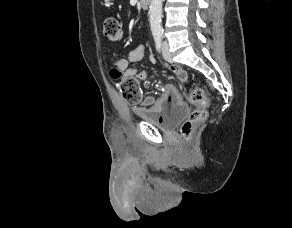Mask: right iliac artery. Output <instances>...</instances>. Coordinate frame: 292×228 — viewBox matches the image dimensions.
<instances>
[{
	"label": "right iliac artery",
	"instance_id": "1",
	"mask_svg": "<svg viewBox=\"0 0 292 228\" xmlns=\"http://www.w3.org/2000/svg\"><path fill=\"white\" fill-rule=\"evenodd\" d=\"M154 39H155V46H156V49H157L158 52H160V51H161V46H162L161 35H156V36L154 37Z\"/></svg>",
	"mask_w": 292,
	"mask_h": 228
}]
</instances>
